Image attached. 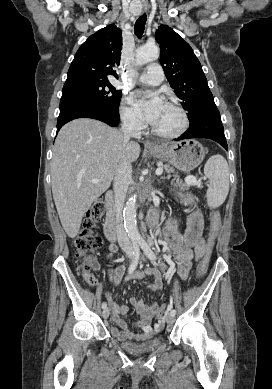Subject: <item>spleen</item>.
Returning <instances> with one entry per match:
<instances>
[{
	"label": "spleen",
	"instance_id": "1",
	"mask_svg": "<svg viewBox=\"0 0 272 389\" xmlns=\"http://www.w3.org/2000/svg\"><path fill=\"white\" fill-rule=\"evenodd\" d=\"M204 174L209 179L206 193L207 204L211 208L219 207L229 192V168L222 155L212 156L204 166Z\"/></svg>",
	"mask_w": 272,
	"mask_h": 389
}]
</instances>
